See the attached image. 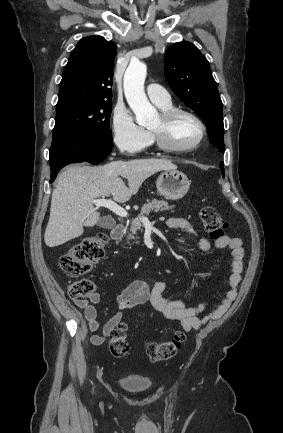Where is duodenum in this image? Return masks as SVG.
<instances>
[{"label":"duodenum","mask_w":283,"mask_h":433,"mask_svg":"<svg viewBox=\"0 0 283 433\" xmlns=\"http://www.w3.org/2000/svg\"><path fill=\"white\" fill-rule=\"evenodd\" d=\"M125 226L123 224H117L115 225L111 230V238L114 241H119L122 239V237L125 234Z\"/></svg>","instance_id":"1"}]
</instances>
